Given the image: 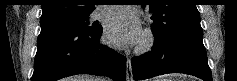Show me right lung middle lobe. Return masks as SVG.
Returning <instances> with one entry per match:
<instances>
[{
    "label": "right lung middle lobe",
    "instance_id": "right-lung-middle-lobe-1",
    "mask_svg": "<svg viewBox=\"0 0 237 81\" xmlns=\"http://www.w3.org/2000/svg\"><path fill=\"white\" fill-rule=\"evenodd\" d=\"M89 15L86 16H78V17H62V18H51V19H45L40 20L41 27L43 26H71L78 29H82L85 31H93L97 29V27L88 26L89 22Z\"/></svg>",
    "mask_w": 237,
    "mask_h": 81
}]
</instances>
